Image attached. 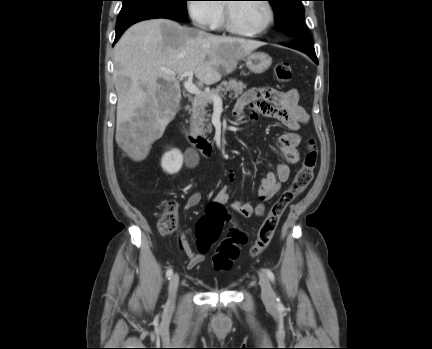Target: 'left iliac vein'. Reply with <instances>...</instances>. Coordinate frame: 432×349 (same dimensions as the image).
I'll return each instance as SVG.
<instances>
[{
	"instance_id": "obj_1",
	"label": "left iliac vein",
	"mask_w": 432,
	"mask_h": 349,
	"mask_svg": "<svg viewBox=\"0 0 432 349\" xmlns=\"http://www.w3.org/2000/svg\"><path fill=\"white\" fill-rule=\"evenodd\" d=\"M259 278H260L259 283L261 286V297L264 304L269 308H275L276 306L275 293L270 284L268 277L263 272H260Z\"/></svg>"
}]
</instances>
